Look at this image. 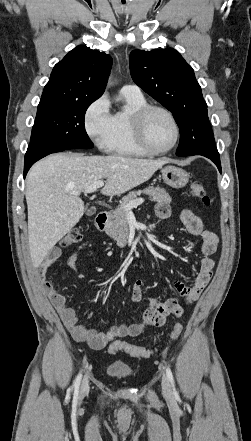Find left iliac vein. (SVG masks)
Listing matches in <instances>:
<instances>
[{
	"label": "left iliac vein",
	"mask_w": 251,
	"mask_h": 441,
	"mask_svg": "<svg viewBox=\"0 0 251 441\" xmlns=\"http://www.w3.org/2000/svg\"><path fill=\"white\" fill-rule=\"evenodd\" d=\"M161 386H162L163 395L165 397L170 398L172 396V390H171V386L169 383V379L167 378L166 375L162 376Z\"/></svg>",
	"instance_id": "left-iliac-vein-1"
}]
</instances>
